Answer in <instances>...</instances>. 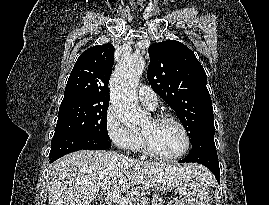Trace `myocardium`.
Returning a JSON list of instances; mask_svg holds the SVG:
<instances>
[{
    "mask_svg": "<svg viewBox=\"0 0 269 205\" xmlns=\"http://www.w3.org/2000/svg\"><path fill=\"white\" fill-rule=\"evenodd\" d=\"M152 121L154 123H160L163 121H171L174 124H176L180 128V130L182 131V133L184 135L185 146H184L183 150L177 154L164 155V154L157 152L151 146V144L149 143L147 138L145 136L141 135L142 149H143L145 154H147L148 156H150L152 158L158 159V160L170 161V160H176V159L181 158L189 151L190 146H191L190 134H189L187 127L184 125V123L180 119H178L176 116H174L172 114L160 113L157 116H155Z\"/></svg>",
    "mask_w": 269,
    "mask_h": 205,
    "instance_id": "obj_1",
    "label": "myocardium"
}]
</instances>
